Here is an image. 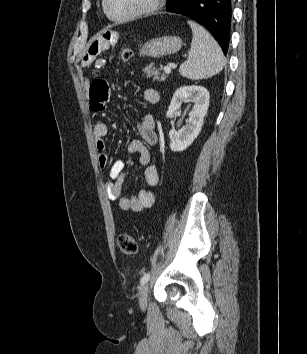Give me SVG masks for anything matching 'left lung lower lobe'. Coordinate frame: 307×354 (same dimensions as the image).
Instances as JSON below:
<instances>
[{
    "label": "left lung lower lobe",
    "mask_w": 307,
    "mask_h": 354,
    "mask_svg": "<svg viewBox=\"0 0 307 354\" xmlns=\"http://www.w3.org/2000/svg\"><path fill=\"white\" fill-rule=\"evenodd\" d=\"M167 11L187 16L210 31L226 54L229 47L231 0H172Z\"/></svg>",
    "instance_id": "1"
}]
</instances>
